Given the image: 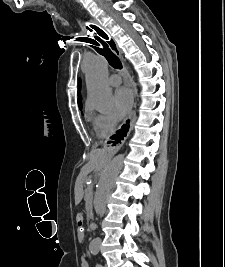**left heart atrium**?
<instances>
[{
    "label": "left heart atrium",
    "instance_id": "39dd6f15",
    "mask_svg": "<svg viewBox=\"0 0 225 267\" xmlns=\"http://www.w3.org/2000/svg\"><path fill=\"white\" fill-rule=\"evenodd\" d=\"M114 110L116 115L121 118L125 116L132 105V95L127 88H118L113 96Z\"/></svg>",
    "mask_w": 225,
    "mask_h": 267
}]
</instances>
